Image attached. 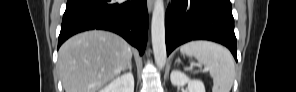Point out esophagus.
<instances>
[{
    "mask_svg": "<svg viewBox=\"0 0 296 92\" xmlns=\"http://www.w3.org/2000/svg\"><path fill=\"white\" fill-rule=\"evenodd\" d=\"M154 0H147L148 11L151 13L153 9Z\"/></svg>",
    "mask_w": 296,
    "mask_h": 92,
    "instance_id": "esophagus-1",
    "label": "esophagus"
}]
</instances>
